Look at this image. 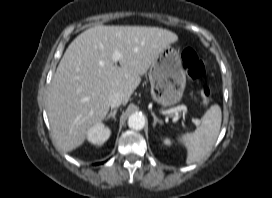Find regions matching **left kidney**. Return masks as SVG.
Segmentation results:
<instances>
[{
  "instance_id": "5707ae66",
  "label": "left kidney",
  "mask_w": 272,
  "mask_h": 198,
  "mask_svg": "<svg viewBox=\"0 0 272 198\" xmlns=\"http://www.w3.org/2000/svg\"><path fill=\"white\" fill-rule=\"evenodd\" d=\"M164 144L169 146L171 144L170 139L168 138L164 139Z\"/></svg>"
}]
</instances>
